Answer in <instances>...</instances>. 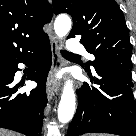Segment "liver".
Here are the masks:
<instances>
[{
	"label": "liver",
	"mask_w": 136,
	"mask_h": 136,
	"mask_svg": "<svg viewBox=\"0 0 136 136\" xmlns=\"http://www.w3.org/2000/svg\"><path fill=\"white\" fill-rule=\"evenodd\" d=\"M0 136H18V135L4 129H0Z\"/></svg>",
	"instance_id": "1"
}]
</instances>
